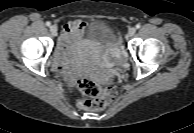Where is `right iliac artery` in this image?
<instances>
[{
    "label": "right iliac artery",
    "instance_id": "right-iliac-artery-1",
    "mask_svg": "<svg viewBox=\"0 0 194 133\" xmlns=\"http://www.w3.org/2000/svg\"><path fill=\"white\" fill-rule=\"evenodd\" d=\"M50 25H51V23H50V22H46V26H48V27H49Z\"/></svg>",
    "mask_w": 194,
    "mask_h": 133
}]
</instances>
